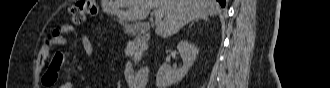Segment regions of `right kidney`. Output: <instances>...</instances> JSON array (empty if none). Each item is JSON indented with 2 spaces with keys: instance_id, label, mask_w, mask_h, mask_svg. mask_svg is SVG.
I'll use <instances>...</instances> for the list:
<instances>
[{
  "instance_id": "obj_1",
  "label": "right kidney",
  "mask_w": 330,
  "mask_h": 88,
  "mask_svg": "<svg viewBox=\"0 0 330 88\" xmlns=\"http://www.w3.org/2000/svg\"><path fill=\"white\" fill-rule=\"evenodd\" d=\"M177 50L183 60V67L172 69L166 63L161 65L156 75V86L158 88H166L181 81L194 64L199 53V49L194 44L189 43L188 40L180 41Z\"/></svg>"
}]
</instances>
